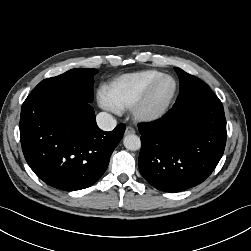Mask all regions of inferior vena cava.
<instances>
[{
    "instance_id": "602c4592",
    "label": "inferior vena cava",
    "mask_w": 251,
    "mask_h": 251,
    "mask_svg": "<svg viewBox=\"0 0 251 251\" xmlns=\"http://www.w3.org/2000/svg\"><path fill=\"white\" fill-rule=\"evenodd\" d=\"M97 125L104 131H111L116 127V120L106 112H100L97 117Z\"/></svg>"
}]
</instances>
